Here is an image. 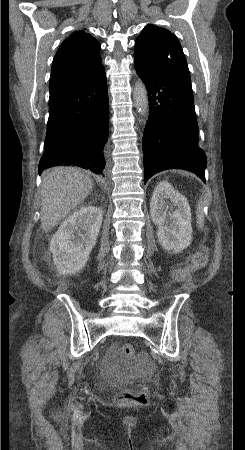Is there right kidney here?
<instances>
[{
  "instance_id": "1",
  "label": "right kidney",
  "mask_w": 245,
  "mask_h": 450,
  "mask_svg": "<svg viewBox=\"0 0 245 450\" xmlns=\"http://www.w3.org/2000/svg\"><path fill=\"white\" fill-rule=\"evenodd\" d=\"M102 219V210L88 205L60 225L50 243L53 263L60 274H75L85 266L96 244Z\"/></svg>"
}]
</instances>
